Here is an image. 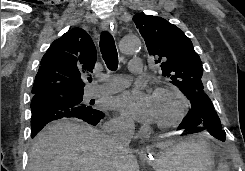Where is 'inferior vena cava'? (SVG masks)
Segmentation results:
<instances>
[{
    "instance_id": "inferior-vena-cava-1",
    "label": "inferior vena cava",
    "mask_w": 245,
    "mask_h": 171,
    "mask_svg": "<svg viewBox=\"0 0 245 171\" xmlns=\"http://www.w3.org/2000/svg\"><path fill=\"white\" fill-rule=\"evenodd\" d=\"M134 125L130 122L107 123L103 126V131L109 134V141L122 152L129 149V143L133 134ZM105 171H115L113 168H106Z\"/></svg>"
}]
</instances>
